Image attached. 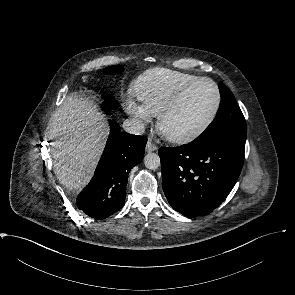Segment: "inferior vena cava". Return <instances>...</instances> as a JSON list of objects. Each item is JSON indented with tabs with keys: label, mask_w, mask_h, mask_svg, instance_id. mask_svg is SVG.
Masks as SVG:
<instances>
[{
	"label": "inferior vena cava",
	"mask_w": 295,
	"mask_h": 295,
	"mask_svg": "<svg viewBox=\"0 0 295 295\" xmlns=\"http://www.w3.org/2000/svg\"><path fill=\"white\" fill-rule=\"evenodd\" d=\"M123 128L126 132L135 135H141L145 131L144 123L136 118L126 119L123 122Z\"/></svg>",
	"instance_id": "602c4592"
}]
</instances>
